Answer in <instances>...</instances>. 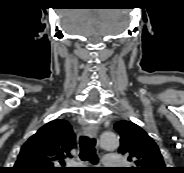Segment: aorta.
Listing matches in <instances>:
<instances>
[{"instance_id":"obj_1","label":"aorta","mask_w":184,"mask_h":173,"mask_svg":"<svg viewBox=\"0 0 184 173\" xmlns=\"http://www.w3.org/2000/svg\"><path fill=\"white\" fill-rule=\"evenodd\" d=\"M119 145V139L114 132H104L100 137V146L106 150H113Z\"/></svg>"}]
</instances>
